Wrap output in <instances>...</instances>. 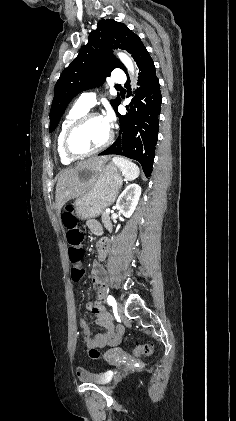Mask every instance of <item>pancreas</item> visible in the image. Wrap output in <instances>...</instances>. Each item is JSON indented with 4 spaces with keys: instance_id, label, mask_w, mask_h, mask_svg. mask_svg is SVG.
Listing matches in <instances>:
<instances>
[{
    "instance_id": "obj_1",
    "label": "pancreas",
    "mask_w": 236,
    "mask_h": 421,
    "mask_svg": "<svg viewBox=\"0 0 236 421\" xmlns=\"http://www.w3.org/2000/svg\"><path fill=\"white\" fill-rule=\"evenodd\" d=\"M102 215V223H104V227L108 229V231H112V223L110 221L109 213H101Z\"/></svg>"
}]
</instances>
